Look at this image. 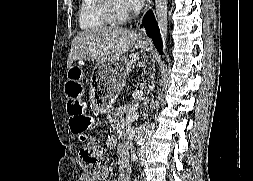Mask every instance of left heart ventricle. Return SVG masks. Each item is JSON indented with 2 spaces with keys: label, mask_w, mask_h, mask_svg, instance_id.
<instances>
[{
  "label": "left heart ventricle",
  "mask_w": 253,
  "mask_h": 181,
  "mask_svg": "<svg viewBox=\"0 0 253 181\" xmlns=\"http://www.w3.org/2000/svg\"><path fill=\"white\" fill-rule=\"evenodd\" d=\"M114 4L118 11L120 12L128 11L123 4V0H114Z\"/></svg>",
  "instance_id": "b2bd125f"
}]
</instances>
